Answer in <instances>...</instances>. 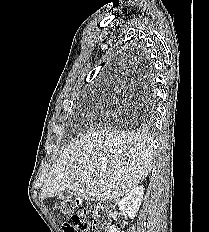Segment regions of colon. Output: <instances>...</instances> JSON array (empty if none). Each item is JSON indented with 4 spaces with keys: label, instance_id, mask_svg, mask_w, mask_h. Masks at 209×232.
Returning a JSON list of instances; mask_svg holds the SVG:
<instances>
[{
    "label": "colon",
    "instance_id": "colon-1",
    "mask_svg": "<svg viewBox=\"0 0 209 232\" xmlns=\"http://www.w3.org/2000/svg\"><path fill=\"white\" fill-rule=\"evenodd\" d=\"M93 227L86 211L76 212L70 217V222L64 224L65 232H92Z\"/></svg>",
    "mask_w": 209,
    "mask_h": 232
}]
</instances>
